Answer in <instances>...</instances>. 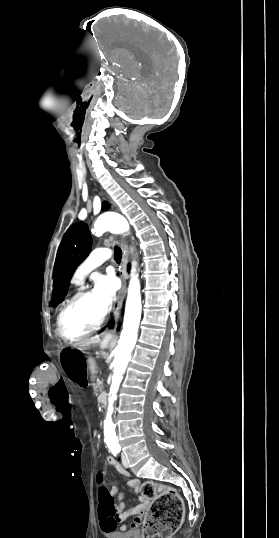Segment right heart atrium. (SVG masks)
Instances as JSON below:
<instances>
[{
    "instance_id": "d8ad5b80",
    "label": "right heart atrium",
    "mask_w": 279,
    "mask_h": 538,
    "mask_svg": "<svg viewBox=\"0 0 279 538\" xmlns=\"http://www.w3.org/2000/svg\"><path fill=\"white\" fill-rule=\"evenodd\" d=\"M110 231H111V233H113V234H115V233L117 232L116 229H111ZM55 237L57 238V237H58V234H55Z\"/></svg>"
}]
</instances>
